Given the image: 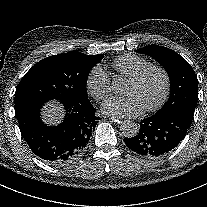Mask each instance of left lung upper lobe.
<instances>
[{"mask_svg": "<svg viewBox=\"0 0 207 207\" xmlns=\"http://www.w3.org/2000/svg\"><path fill=\"white\" fill-rule=\"evenodd\" d=\"M136 51L154 58L168 73L170 97L157 113L178 111L193 118L198 100V79L190 64L173 50L158 45Z\"/></svg>", "mask_w": 207, "mask_h": 207, "instance_id": "5c2ea615", "label": "left lung upper lobe"}]
</instances>
